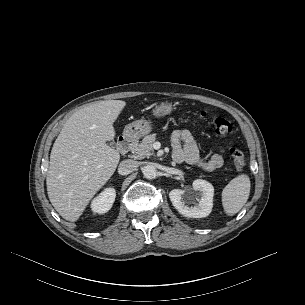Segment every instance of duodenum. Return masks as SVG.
I'll use <instances>...</instances> for the list:
<instances>
[{"label":"duodenum","instance_id":"obj_1","mask_svg":"<svg viewBox=\"0 0 305 305\" xmlns=\"http://www.w3.org/2000/svg\"><path fill=\"white\" fill-rule=\"evenodd\" d=\"M134 139L131 136H123L119 139L117 143V149L120 153H127L132 145H133Z\"/></svg>","mask_w":305,"mask_h":305}]
</instances>
